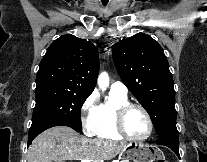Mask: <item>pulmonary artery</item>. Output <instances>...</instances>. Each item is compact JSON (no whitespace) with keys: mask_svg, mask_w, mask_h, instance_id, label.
<instances>
[{"mask_svg":"<svg viewBox=\"0 0 207 162\" xmlns=\"http://www.w3.org/2000/svg\"><path fill=\"white\" fill-rule=\"evenodd\" d=\"M111 92L119 95H127V87L120 81L114 82L110 87Z\"/></svg>","mask_w":207,"mask_h":162,"instance_id":"obj_1","label":"pulmonary artery"}]
</instances>
